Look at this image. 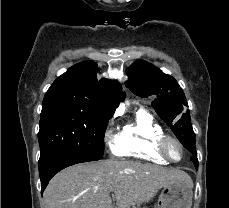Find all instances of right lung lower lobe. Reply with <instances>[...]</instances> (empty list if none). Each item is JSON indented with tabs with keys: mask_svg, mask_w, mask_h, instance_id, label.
I'll return each mask as SVG.
<instances>
[{
	"mask_svg": "<svg viewBox=\"0 0 229 208\" xmlns=\"http://www.w3.org/2000/svg\"><path fill=\"white\" fill-rule=\"evenodd\" d=\"M96 160H99V158L73 150H65L54 154L50 159L39 165L41 193H43L50 179L62 169L77 163Z\"/></svg>",
	"mask_w": 229,
	"mask_h": 208,
	"instance_id": "obj_1",
	"label": "right lung lower lobe"
}]
</instances>
